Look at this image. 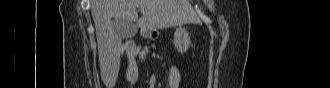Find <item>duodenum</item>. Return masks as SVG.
I'll use <instances>...</instances> for the list:
<instances>
[{
	"label": "duodenum",
	"mask_w": 330,
	"mask_h": 88,
	"mask_svg": "<svg viewBox=\"0 0 330 88\" xmlns=\"http://www.w3.org/2000/svg\"><path fill=\"white\" fill-rule=\"evenodd\" d=\"M125 49L127 51L128 54L132 55L135 53L136 51V46L134 43L132 42H128L125 46ZM128 78H130L132 76V73L130 72V70L128 71V74H127Z\"/></svg>",
	"instance_id": "410a0bca"
}]
</instances>
